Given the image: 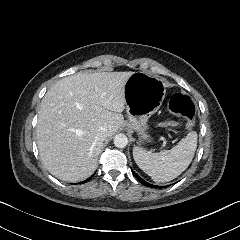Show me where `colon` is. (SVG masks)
<instances>
[{
	"instance_id": "1",
	"label": "colon",
	"mask_w": 240,
	"mask_h": 240,
	"mask_svg": "<svg viewBox=\"0 0 240 240\" xmlns=\"http://www.w3.org/2000/svg\"><path fill=\"white\" fill-rule=\"evenodd\" d=\"M168 108L173 115L186 118V131H191V126L195 124L197 109L193 100L185 95L177 94L170 98ZM177 127V120L169 117L162 120V128Z\"/></svg>"
}]
</instances>
